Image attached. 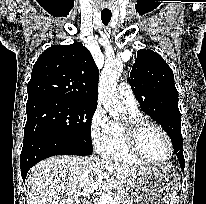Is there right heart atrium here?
Listing matches in <instances>:
<instances>
[{"label": "right heart atrium", "mask_w": 206, "mask_h": 204, "mask_svg": "<svg viewBox=\"0 0 206 204\" xmlns=\"http://www.w3.org/2000/svg\"><path fill=\"white\" fill-rule=\"evenodd\" d=\"M112 122L102 106H97L90 119V136L93 147L101 152L111 136Z\"/></svg>", "instance_id": "d8ad5b80"}]
</instances>
